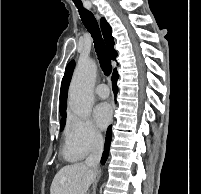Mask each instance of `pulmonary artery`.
I'll list each match as a JSON object with an SVG mask.
<instances>
[{"label": "pulmonary artery", "instance_id": "e3ab8cb5", "mask_svg": "<svg viewBox=\"0 0 201 194\" xmlns=\"http://www.w3.org/2000/svg\"><path fill=\"white\" fill-rule=\"evenodd\" d=\"M95 93L99 98L105 99L109 96V89L106 84H98L95 88Z\"/></svg>", "mask_w": 201, "mask_h": 194}]
</instances>
